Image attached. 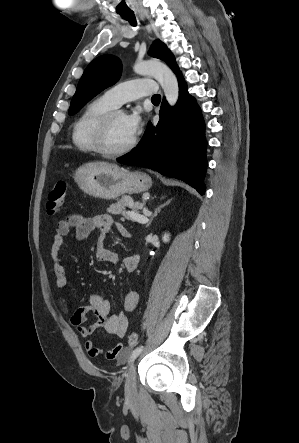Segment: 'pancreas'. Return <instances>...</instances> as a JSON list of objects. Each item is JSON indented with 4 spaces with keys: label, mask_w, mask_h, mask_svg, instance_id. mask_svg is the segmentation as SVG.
<instances>
[{
    "label": "pancreas",
    "mask_w": 299,
    "mask_h": 443,
    "mask_svg": "<svg viewBox=\"0 0 299 443\" xmlns=\"http://www.w3.org/2000/svg\"><path fill=\"white\" fill-rule=\"evenodd\" d=\"M126 207H129L132 212L138 214L141 205L139 203H134L133 199L129 196H122L121 199H117L115 203L111 204V206L107 208V212L114 215L121 214L126 219L132 220L127 214L128 212L126 211Z\"/></svg>",
    "instance_id": "obj_1"
}]
</instances>
